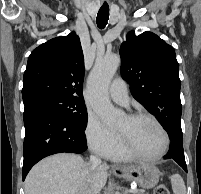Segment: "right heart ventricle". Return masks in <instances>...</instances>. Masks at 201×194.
<instances>
[{
	"instance_id": "1",
	"label": "right heart ventricle",
	"mask_w": 201,
	"mask_h": 194,
	"mask_svg": "<svg viewBox=\"0 0 201 194\" xmlns=\"http://www.w3.org/2000/svg\"><path fill=\"white\" fill-rule=\"evenodd\" d=\"M106 157L114 161H129L133 158L124 150L121 140L116 148L112 150Z\"/></svg>"
}]
</instances>
